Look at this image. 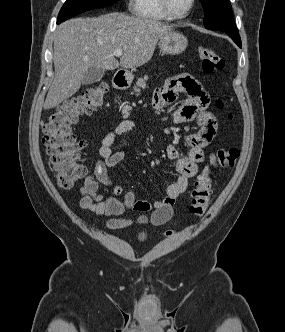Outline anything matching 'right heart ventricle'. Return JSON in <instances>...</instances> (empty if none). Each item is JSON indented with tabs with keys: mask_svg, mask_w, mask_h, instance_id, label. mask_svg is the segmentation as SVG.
Masks as SVG:
<instances>
[{
	"mask_svg": "<svg viewBox=\"0 0 285 332\" xmlns=\"http://www.w3.org/2000/svg\"><path fill=\"white\" fill-rule=\"evenodd\" d=\"M132 13L142 19L168 21L171 18L163 11L160 0H131Z\"/></svg>",
	"mask_w": 285,
	"mask_h": 332,
	"instance_id": "1",
	"label": "right heart ventricle"
}]
</instances>
